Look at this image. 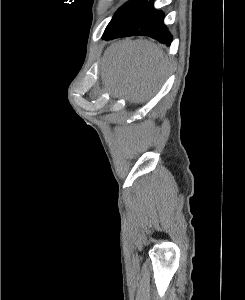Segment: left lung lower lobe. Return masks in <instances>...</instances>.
I'll list each match as a JSON object with an SVG mask.
<instances>
[{"label":"left lung lower lobe","mask_w":245,"mask_h":300,"mask_svg":"<svg viewBox=\"0 0 245 300\" xmlns=\"http://www.w3.org/2000/svg\"><path fill=\"white\" fill-rule=\"evenodd\" d=\"M164 13L153 8V2L144 1L103 34L106 41L134 35L149 36L164 44L172 42V35L163 22Z\"/></svg>","instance_id":"left-lung-lower-lobe-1"}]
</instances>
